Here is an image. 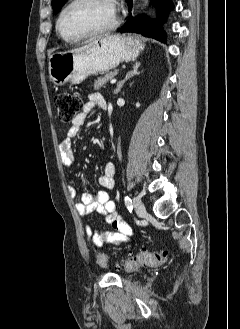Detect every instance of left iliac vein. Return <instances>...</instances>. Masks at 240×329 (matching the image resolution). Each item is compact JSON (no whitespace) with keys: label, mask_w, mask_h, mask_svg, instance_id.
Instances as JSON below:
<instances>
[{"label":"left iliac vein","mask_w":240,"mask_h":329,"mask_svg":"<svg viewBox=\"0 0 240 329\" xmlns=\"http://www.w3.org/2000/svg\"><path fill=\"white\" fill-rule=\"evenodd\" d=\"M133 206H134V209H135L136 213L140 217L145 215L146 209H145V206H144L143 202L141 201V199L139 197H134Z\"/></svg>","instance_id":"left-iliac-vein-1"}]
</instances>
